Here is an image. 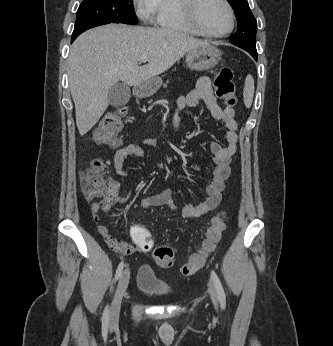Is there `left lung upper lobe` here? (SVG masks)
I'll return each instance as SVG.
<instances>
[{
    "instance_id": "left-lung-upper-lobe-1",
    "label": "left lung upper lobe",
    "mask_w": 333,
    "mask_h": 346,
    "mask_svg": "<svg viewBox=\"0 0 333 346\" xmlns=\"http://www.w3.org/2000/svg\"><path fill=\"white\" fill-rule=\"evenodd\" d=\"M235 11L238 31L231 36L232 44L246 50L252 56L256 51L257 21L253 16L247 0H228Z\"/></svg>"
}]
</instances>
